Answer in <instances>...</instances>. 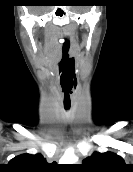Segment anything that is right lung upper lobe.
<instances>
[{
	"mask_svg": "<svg viewBox=\"0 0 133 172\" xmlns=\"http://www.w3.org/2000/svg\"><path fill=\"white\" fill-rule=\"evenodd\" d=\"M47 169L46 159L41 154L16 156L4 167L8 172H45Z\"/></svg>",
	"mask_w": 133,
	"mask_h": 172,
	"instance_id": "1",
	"label": "right lung upper lobe"
}]
</instances>
